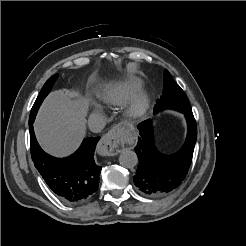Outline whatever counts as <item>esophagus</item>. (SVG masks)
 Segmentation results:
<instances>
[{
    "instance_id": "obj_1",
    "label": "esophagus",
    "mask_w": 246,
    "mask_h": 246,
    "mask_svg": "<svg viewBox=\"0 0 246 246\" xmlns=\"http://www.w3.org/2000/svg\"><path fill=\"white\" fill-rule=\"evenodd\" d=\"M121 133V128L116 126L105 134L97 147L98 153L103 156H114L118 154L121 151L117 148L121 139Z\"/></svg>"
}]
</instances>
